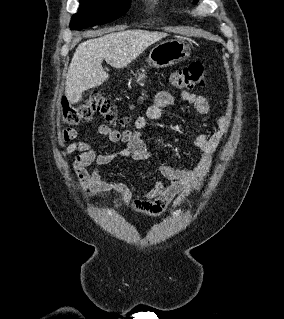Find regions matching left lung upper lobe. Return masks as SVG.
<instances>
[{
    "label": "left lung upper lobe",
    "instance_id": "1",
    "mask_svg": "<svg viewBox=\"0 0 284 319\" xmlns=\"http://www.w3.org/2000/svg\"><path fill=\"white\" fill-rule=\"evenodd\" d=\"M198 2V0H194V3H197Z\"/></svg>",
    "mask_w": 284,
    "mask_h": 319
}]
</instances>
